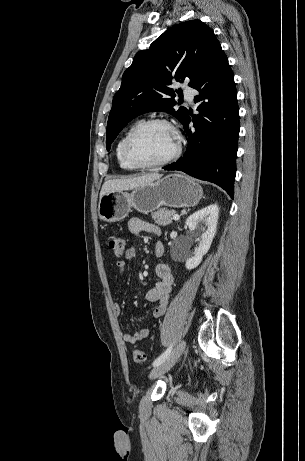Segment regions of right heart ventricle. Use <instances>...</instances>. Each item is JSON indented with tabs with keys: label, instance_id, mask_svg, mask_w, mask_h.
<instances>
[{
	"label": "right heart ventricle",
	"instance_id": "right-heart-ventricle-1",
	"mask_svg": "<svg viewBox=\"0 0 305 461\" xmlns=\"http://www.w3.org/2000/svg\"><path fill=\"white\" fill-rule=\"evenodd\" d=\"M135 125H131L123 134L122 136L119 138V140L117 141V144H116V148H115V155H116V159H117V162L119 164V166L124 169V170H127V171H133V170H136L135 167H133L132 165H130L127 160L125 159V156H124V143H125V140L128 136V134L130 133V131L133 129Z\"/></svg>",
	"mask_w": 305,
	"mask_h": 461
}]
</instances>
